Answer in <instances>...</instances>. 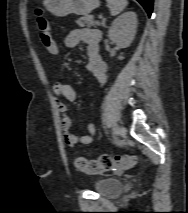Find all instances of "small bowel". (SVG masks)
Returning <instances> with one entry per match:
<instances>
[{"instance_id":"small-bowel-1","label":"small bowel","mask_w":188,"mask_h":213,"mask_svg":"<svg viewBox=\"0 0 188 213\" xmlns=\"http://www.w3.org/2000/svg\"><path fill=\"white\" fill-rule=\"evenodd\" d=\"M101 41L100 31L92 28H77L71 31L64 39L66 48H74L80 43L86 45L88 63L87 69L94 75L98 83L103 86L107 82V65L100 55L99 44ZM53 97L57 111L62 115L61 128L64 142L67 146L73 147L77 143L90 144L96 131V126L90 123L87 126V133L77 136L72 132V122L67 115V107L62 98L74 102L77 99L75 89L68 84L58 82L53 87Z\"/></svg>"}]
</instances>
